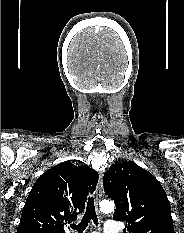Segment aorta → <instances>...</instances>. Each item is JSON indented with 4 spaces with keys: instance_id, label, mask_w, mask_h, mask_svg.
I'll return each mask as SVG.
<instances>
[{
    "instance_id": "obj_1",
    "label": "aorta",
    "mask_w": 184,
    "mask_h": 233,
    "mask_svg": "<svg viewBox=\"0 0 184 233\" xmlns=\"http://www.w3.org/2000/svg\"><path fill=\"white\" fill-rule=\"evenodd\" d=\"M100 210L103 213H111L114 211V203L112 201L104 200L100 203Z\"/></svg>"
}]
</instances>
